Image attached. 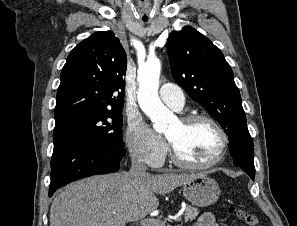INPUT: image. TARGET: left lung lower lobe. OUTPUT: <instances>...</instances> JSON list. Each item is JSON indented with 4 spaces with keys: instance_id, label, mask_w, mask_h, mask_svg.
Instances as JSON below:
<instances>
[{
    "instance_id": "1",
    "label": "left lung lower lobe",
    "mask_w": 297,
    "mask_h": 226,
    "mask_svg": "<svg viewBox=\"0 0 297 226\" xmlns=\"http://www.w3.org/2000/svg\"><path fill=\"white\" fill-rule=\"evenodd\" d=\"M239 166L241 169H243L248 175L249 177L254 180L255 179V167L254 165H237Z\"/></svg>"
}]
</instances>
